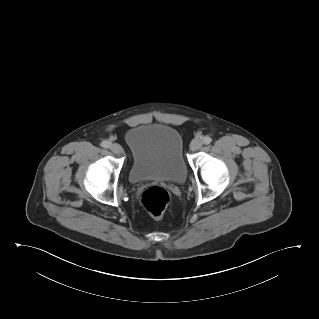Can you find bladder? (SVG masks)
<instances>
[{
    "label": "bladder",
    "instance_id": "31cf9c89",
    "mask_svg": "<svg viewBox=\"0 0 319 319\" xmlns=\"http://www.w3.org/2000/svg\"><path fill=\"white\" fill-rule=\"evenodd\" d=\"M131 153L129 180L139 184L157 179L181 184L187 177L183 139L169 126L145 124L131 128L125 135Z\"/></svg>",
    "mask_w": 319,
    "mask_h": 319
}]
</instances>
